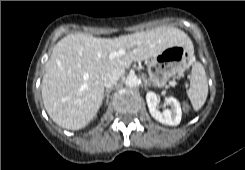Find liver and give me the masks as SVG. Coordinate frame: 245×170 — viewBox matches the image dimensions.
<instances>
[{
    "label": "liver",
    "mask_w": 245,
    "mask_h": 170,
    "mask_svg": "<svg viewBox=\"0 0 245 170\" xmlns=\"http://www.w3.org/2000/svg\"><path fill=\"white\" fill-rule=\"evenodd\" d=\"M177 45L193 53L185 32L165 26L113 39L83 33L65 36L54 46L45 65L41 89L48 115L62 128L85 127L102 105L108 72H125L133 61L150 59ZM120 49L125 50L123 56L109 58L111 52Z\"/></svg>",
    "instance_id": "6515ba94"
}]
</instances>
